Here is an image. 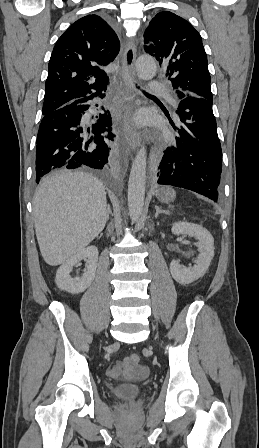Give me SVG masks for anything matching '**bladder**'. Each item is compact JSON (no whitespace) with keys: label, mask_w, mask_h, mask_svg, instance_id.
Masks as SVG:
<instances>
[{"label":"bladder","mask_w":259,"mask_h":448,"mask_svg":"<svg viewBox=\"0 0 259 448\" xmlns=\"http://www.w3.org/2000/svg\"><path fill=\"white\" fill-rule=\"evenodd\" d=\"M143 388L136 384H119L110 388L112 396L121 399L134 398L140 395Z\"/></svg>","instance_id":"bladder-1"}]
</instances>
